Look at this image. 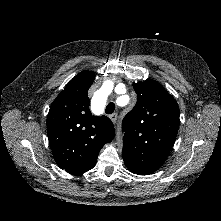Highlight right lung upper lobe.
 Masks as SVG:
<instances>
[{"instance_id":"obj_1","label":"right lung upper lobe","mask_w":221,"mask_h":221,"mask_svg":"<svg viewBox=\"0 0 221 221\" xmlns=\"http://www.w3.org/2000/svg\"><path fill=\"white\" fill-rule=\"evenodd\" d=\"M95 76L85 70L76 75L51 104L47 133L54 159L61 169L81 174L92 169L104 144L115 131L106 116L89 110L87 92Z\"/></svg>"}]
</instances>
